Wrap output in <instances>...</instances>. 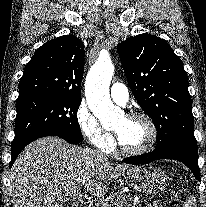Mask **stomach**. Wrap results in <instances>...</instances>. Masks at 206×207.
I'll return each mask as SVG.
<instances>
[{
    "label": "stomach",
    "mask_w": 206,
    "mask_h": 207,
    "mask_svg": "<svg viewBox=\"0 0 206 207\" xmlns=\"http://www.w3.org/2000/svg\"><path fill=\"white\" fill-rule=\"evenodd\" d=\"M126 182L138 192L154 195L164 190L167 176L155 166H140L126 178Z\"/></svg>",
    "instance_id": "obj_1"
}]
</instances>
